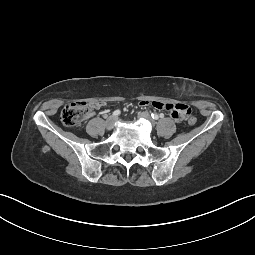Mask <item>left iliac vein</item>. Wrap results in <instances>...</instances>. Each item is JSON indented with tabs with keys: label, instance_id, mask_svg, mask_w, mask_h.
Returning a JSON list of instances; mask_svg holds the SVG:
<instances>
[{
	"label": "left iliac vein",
	"instance_id": "1",
	"mask_svg": "<svg viewBox=\"0 0 255 255\" xmlns=\"http://www.w3.org/2000/svg\"><path fill=\"white\" fill-rule=\"evenodd\" d=\"M139 117L149 120L152 124L154 123L148 112L139 113Z\"/></svg>",
	"mask_w": 255,
	"mask_h": 255
}]
</instances>
